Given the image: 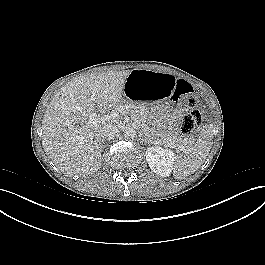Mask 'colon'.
<instances>
[{"label": "colon", "instance_id": "1", "mask_svg": "<svg viewBox=\"0 0 265 265\" xmlns=\"http://www.w3.org/2000/svg\"><path fill=\"white\" fill-rule=\"evenodd\" d=\"M172 101L176 104L186 102L195 106L197 99L192 86L184 80H177L174 84ZM202 124V115L198 110L189 112L182 120L181 131L185 135H190L198 131Z\"/></svg>", "mask_w": 265, "mask_h": 265}]
</instances>
